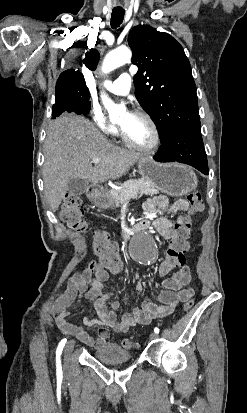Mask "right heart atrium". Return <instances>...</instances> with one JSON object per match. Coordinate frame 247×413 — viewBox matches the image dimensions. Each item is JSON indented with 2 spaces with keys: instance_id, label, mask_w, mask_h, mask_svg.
Returning <instances> with one entry per match:
<instances>
[{
  "instance_id": "obj_1",
  "label": "right heart atrium",
  "mask_w": 247,
  "mask_h": 413,
  "mask_svg": "<svg viewBox=\"0 0 247 413\" xmlns=\"http://www.w3.org/2000/svg\"><path fill=\"white\" fill-rule=\"evenodd\" d=\"M91 117L95 119V122L98 124L99 129L103 130V134H116L117 128L111 125L108 121L102 116L103 106L102 105H91L90 106Z\"/></svg>"
}]
</instances>
